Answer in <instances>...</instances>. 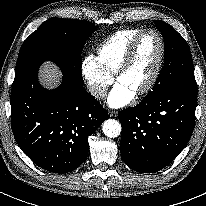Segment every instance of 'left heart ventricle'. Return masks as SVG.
<instances>
[{"mask_svg": "<svg viewBox=\"0 0 206 206\" xmlns=\"http://www.w3.org/2000/svg\"><path fill=\"white\" fill-rule=\"evenodd\" d=\"M159 51L160 44L157 36L153 33L144 35L139 42L132 63L118 82L124 84L136 94L151 78Z\"/></svg>", "mask_w": 206, "mask_h": 206, "instance_id": "left-heart-ventricle-1", "label": "left heart ventricle"}]
</instances>
